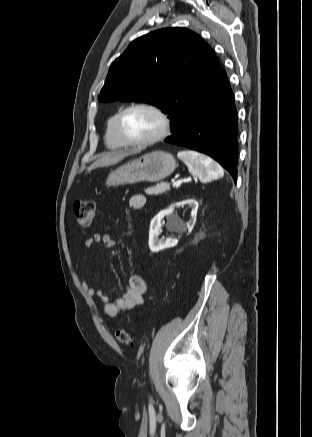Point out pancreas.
<instances>
[{
    "instance_id": "obj_1",
    "label": "pancreas",
    "mask_w": 312,
    "mask_h": 437,
    "mask_svg": "<svg viewBox=\"0 0 312 437\" xmlns=\"http://www.w3.org/2000/svg\"><path fill=\"white\" fill-rule=\"evenodd\" d=\"M169 189H170L169 184L162 182L160 184H157L154 187L147 188L145 190V193L147 195H160V194H163V193L169 191Z\"/></svg>"
}]
</instances>
